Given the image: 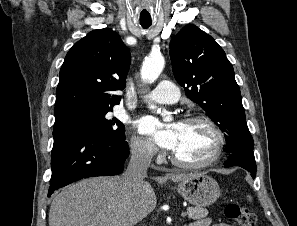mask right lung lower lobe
<instances>
[{
	"label": "right lung lower lobe",
	"instance_id": "obj_1",
	"mask_svg": "<svg viewBox=\"0 0 297 226\" xmlns=\"http://www.w3.org/2000/svg\"><path fill=\"white\" fill-rule=\"evenodd\" d=\"M53 137L48 197L82 178L120 174L129 155L125 139H111L82 127H54Z\"/></svg>",
	"mask_w": 297,
	"mask_h": 226
}]
</instances>
